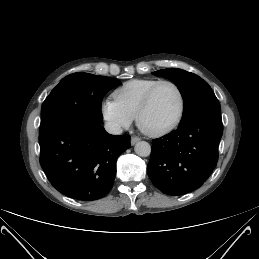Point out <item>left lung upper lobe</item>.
<instances>
[{
	"label": "left lung upper lobe",
	"mask_w": 259,
	"mask_h": 259,
	"mask_svg": "<svg viewBox=\"0 0 259 259\" xmlns=\"http://www.w3.org/2000/svg\"><path fill=\"white\" fill-rule=\"evenodd\" d=\"M173 81L184 100V114L180 125L200 117L221 118L220 104L206 81L182 69L169 68L153 72Z\"/></svg>",
	"instance_id": "left-lung-upper-lobe-1"
}]
</instances>
